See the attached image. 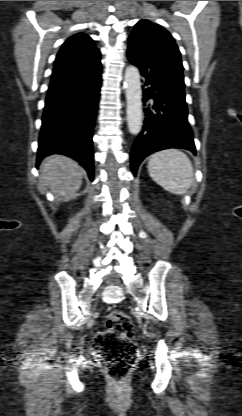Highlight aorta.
I'll return each instance as SVG.
<instances>
[{"instance_id":"1","label":"aorta","mask_w":242,"mask_h":416,"mask_svg":"<svg viewBox=\"0 0 242 416\" xmlns=\"http://www.w3.org/2000/svg\"><path fill=\"white\" fill-rule=\"evenodd\" d=\"M124 86L128 129L137 135L142 129V90L139 70L135 66L126 68Z\"/></svg>"}]
</instances>
